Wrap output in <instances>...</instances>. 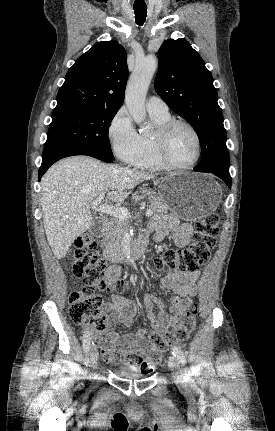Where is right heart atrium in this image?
Wrapping results in <instances>:
<instances>
[{
    "instance_id": "d8ad5b80",
    "label": "right heart atrium",
    "mask_w": 275,
    "mask_h": 431,
    "mask_svg": "<svg viewBox=\"0 0 275 431\" xmlns=\"http://www.w3.org/2000/svg\"><path fill=\"white\" fill-rule=\"evenodd\" d=\"M108 138L115 156L126 164H133L142 152V137L125 109L118 110L110 121Z\"/></svg>"
}]
</instances>
